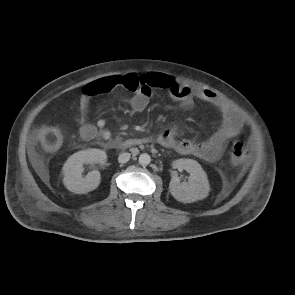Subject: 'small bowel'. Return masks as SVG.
I'll return each mask as SVG.
<instances>
[{
    "label": "small bowel",
    "instance_id": "1",
    "mask_svg": "<svg viewBox=\"0 0 295 295\" xmlns=\"http://www.w3.org/2000/svg\"><path fill=\"white\" fill-rule=\"evenodd\" d=\"M128 75L103 77L83 86L76 106V121L81 138L91 140L100 137L105 142L110 140L112 133L104 119H99L95 124L89 121L90 102L94 97L108 93L117 86L129 89L124 81ZM134 76L140 81L138 88L129 89L132 92L129 104L135 112H143L146 109L155 89H165L184 109H191L194 100L198 99L211 104L221 116V125L206 140L200 142L190 139L178 140L176 126L170 125L158 137L160 145L180 154L196 156L205 161H215L223 153L226 144L241 132L243 127L241 115L211 90L195 87L162 73Z\"/></svg>",
    "mask_w": 295,
    "mask_h": 295
}]
</instances>
